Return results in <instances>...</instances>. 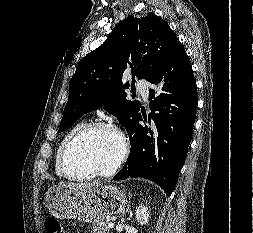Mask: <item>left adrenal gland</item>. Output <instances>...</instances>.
Wrapping results in <instances>:
<instances>
[{
	"label": "left adrenal gland",
	"instance_id": "1",
	"mask_svg": "<svg viewBox=\"0 0 253 233\" xmlns=\"http://www.w3.org/2000/svg\"><path fill=\"white\" fill-rule=\"evenodd\" d=\"M132 198V194L131 193H129V201H130V199Z\"/></svg>",
	"mask_w": 253,
	"mask_h": 233
}]
</instances>
